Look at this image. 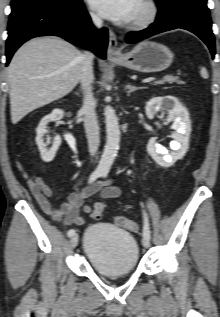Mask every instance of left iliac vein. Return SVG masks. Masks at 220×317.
Returning <instances> with one entry per match:
<instances>
[{
    "label": "left iliac vein",
    "instance_id": "1",
    "mask_svg": "<svg viewBox=\"0 0 220 317\" xmlns=\"http://www.w3.org/2000/svg\"><path fill=\"white\" fill-rule=\"evenodd\" d=\"M142 245L145 247V248H149L150 247V241H149V239H147V238H143L142 239Z\"/></svg>",
    "mask_w": 220,
    "mask_h": 317
}]
</instances>
